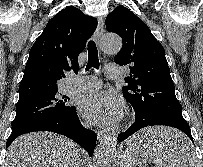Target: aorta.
<instances>
[{
  "label": "aorta",
  "mask_w": 203,
  "mask_h": 167,
  "mask_svg": "<svg viewBox=\"0 0 203 167\" xmlns=\"http://www.w3.org/2000/svg\"><path fill=\"white\" fill-rule=\"evenodd\" d=\"M100 48L105 54H116L122 48V40L115 34H107L102 38ZM116 144L117 137H106L95 151L93 167H111L112 158L116 151Z\"/></svg>",
  "instance_id": "aorta-1"
}]
</instances>
